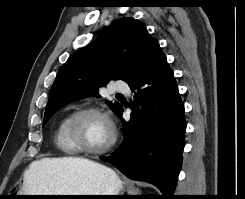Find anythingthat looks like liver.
Masks as SVG:
<instances>
[{"mask_svg":"<svg viewBox=\"0 0 245 199\" xmlns=\"http://www.w3.org/2000/svg\"><path fill=\"white\" fill-rule=\"evenodd\" d=\"M97 163L79 157L43 158L34 161L24 173V185L32 192L47 189V177L53 174H64L78 167L95 166Z\"/></svg>","mask_w":245,"mask_h":199,"instance_id":"obj_1","label":"liver"}]
</instances>
